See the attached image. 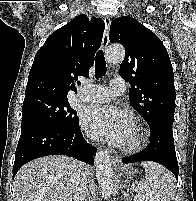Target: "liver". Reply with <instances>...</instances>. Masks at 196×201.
Returning <instances> with one entry per match:
<instances>
[{
	"instance_id": "liver-1",
	"label": "liver",
	"mask_w": 196,
	"mask_h": 201,
	"mask_svg": "<svg viewBox=\"0 0 196 201\" xmlns=\"http://www.w3.org/2000/svg\"><path fill=\"white\" fill-rule=\"evenodd\" d=\"M81 164L57 155L25 164L14 179V201H72L74 176ZM84 169L86 173L91 170Z\"/></svg>"
}]
</instances>
